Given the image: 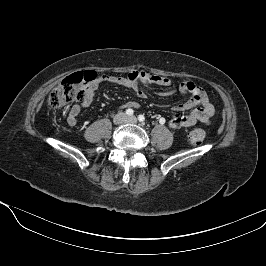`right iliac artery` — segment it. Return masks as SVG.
I'll list each match as a JSON object with an SVG mask.
<instances>
[{"mask_svg":"<svg viewBox=\"0 0 266 266\" xmlns=\"http://www.w3.org/2000/svg\"><path fill=\"white\" fill-rule=\"evenodd\" d=\"M133 113H134L133 109H127V110H126V114H127L128 116H132Z\"/></svg>","mask_w":266,"mask_h":266,"instance_id":"right-iliac-artery-1","label":"right iliac artery"}]
</instances>
